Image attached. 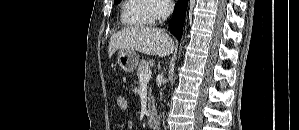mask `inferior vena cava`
<instances>
[{"label": "inferior vena cava", "instance_id": "1", "mask_svg": "<svg viewBox=\"0 0 299 130\" xmlns=\"http://www.w3.org/2000/svg\"><path fill=\"white\" fill-rule=\"evenodd\" d=\"M168 10H169V12H172V11H173V4H170V5L168 6Z\"/></svg>", "mask_w": 299, "mask_h": 130}]
</instances>
